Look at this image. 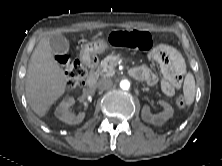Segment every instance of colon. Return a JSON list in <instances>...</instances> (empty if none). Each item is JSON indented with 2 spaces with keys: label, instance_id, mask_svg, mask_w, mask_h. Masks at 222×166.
<instances>
[{
  "label": "colon",
  "instance_id": "1",
  "mask_svg": "<svg viewBox=\"0 0 222 166\" xmlns=\"http://www.w3.org/2000/svg\"><path fill=\"white\" fill-rule=\"evenodd\" d=\"M109 42L113 46L133 48L139 50H148L152 47V38L148 32L144 31H117L109 36ZM58 61L63 67L67 79V85L70 89L81 87L85 84L86 68L79 61L71 59L68 55L58 57ZM177 106L185 107V101L182 97L178 98Z\"/></svg>",
  "mask_w": 222,
  "mask_h": 166
}]
</instances>
